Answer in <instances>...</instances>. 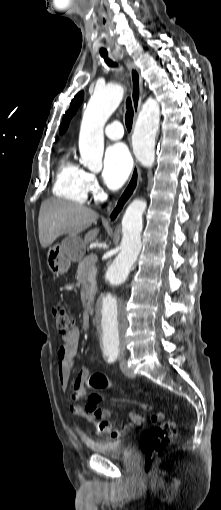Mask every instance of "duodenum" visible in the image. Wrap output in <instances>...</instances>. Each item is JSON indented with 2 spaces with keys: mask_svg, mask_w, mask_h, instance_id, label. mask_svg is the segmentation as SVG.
Returning <instances> with one entry per match:
<instances>
[{
  "mask_svg": "<svg viewBox=\"0 0 221 510\" xmlns=\"http://www.w3.org/2000/svg\"><path fill=\"white\" fill-rule=\"evenodd\" d=\"M95 304H96V296L90 297L85 305V311L87 314H91L94 311Z\"/></svg>",
  "mask_w": 221,
  "mask_h": 510,
  "instance_id": "duodenum-1",
  "label": "duodenum"
}]
</instances>
